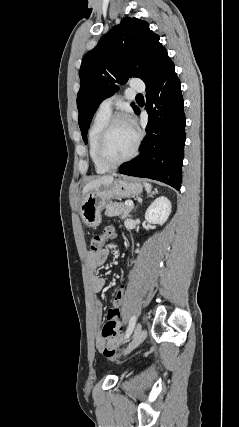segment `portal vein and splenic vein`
<instances>
[{
  "label": "portal vein and splenic vein",
  "mask_w": 239,
  "mask_h": 427,
  "mask_svg": "<svg viewBox=\"0 0 239 427\" xmlns=\"http://www.w3.org/2000/svg\"><path fill=\"white\" fill-rule=\"evenodd\" d=\"M125 205H127V206H130V207H133V202L132 201H126L125 202Z\"/></svg>",
  "instance_id": "18ae733b"
}]
</instances>
